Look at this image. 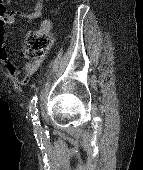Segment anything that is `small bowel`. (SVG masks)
<instances>
[{
    "instance_id": "small-bowel-1",
    "label": "small bowel",
    "mask_w": 143,
    "mask_h": 170,
    "mask_svg": "<svg viewBox=\"0 0 143 170\" xmlns=\"http://www.w3.org/2000/svg\"><path fill=\"white\" fill-rule=\"evenodd\" d=\"M45 10V2L43 0L35 3L32 10L28 12H15L6 17V19L0 21V58L5 65L8 72L15 78L21 76L22 72L24 76L19 79V83L25 85L28 79L33 75L43 63V59H38L29 63H26L23 71L20 70L11 60L9 53L4 48V42L6 40L5 28L8 25H12L16 22V18L19 17L24 20L25 23H31L33 20L39 19ZM51 29V22L44 20L40 25L41 32H48Z\"/></svg>"
}]
</instances>
